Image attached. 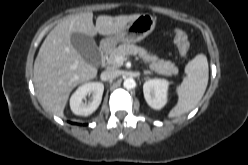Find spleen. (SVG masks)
<instances>
[{"label": "spleen", "mask_w": 248, "mask_h": 165, "mask_svg": "<svg viewBox=\"0 0 248 165\" xmlns=\"http://www.w3.org/2000/svg\"><path fill=\"white\" fill-rule=\"evenodd\" d=\"M186 77L177 87L178 103L169 112V118L179 117L196 107L202 99L209 78L207 57L198 54L185 67Z\"/></svg>", "instance_id": "3e777b00"}]
</instances>
